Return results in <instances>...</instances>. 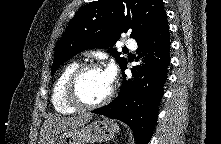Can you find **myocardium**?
I'll return each mask as SVG.
<instances>
[{"instance_id":"obj_1","label":"myocardium","mask_w":221,"mask_h":144,"mask_svg":"<svg viewBox=\"0 0 221 144\" xmlns=\"http://www.w3.org/2000/svg\"><path fill=\"white\" fill-rule=\"evenodd\" d=\"M91 69H103L102 65L97 62H85L77 66L70 74L65 84V99L69 105L78 110H88L98 108L108 103L113 97L114 90L110 87L109 92L99 101L94 103L85 102L79 95L78 84L82 76Z\"/></svg>"}]
</instances>
